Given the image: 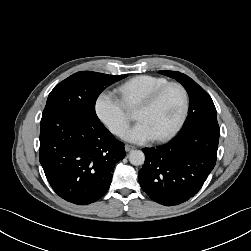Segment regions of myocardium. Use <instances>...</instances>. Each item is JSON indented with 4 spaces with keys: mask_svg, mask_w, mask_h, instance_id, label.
Wrapping results in <instances>:
<instances>
[{
    "mask_svg": "<svg viewBox=\"0 0 251 251\" xmlns=\"http://www.w3.org/2000/svg\"><path fill=\"white\" fill-rule=\"evenodd\" d=\"M175 87L178 88L182 94L183 98V107L180 114L179 119L175 123V125L166 133L155 137V141L164 142L171 138H173L179 130L182 128L189 111V95L187 89L179 82H168L165 85L158 88L152 94H150L146 99H144L137 108H151L153 107L164 95V93L170 88Z\"/></svg>",
    "mask_w": 251,
    "mask_h": 251,
    "instance_id": "myocardium-1",
    "label": "myocardium"
}]
</instances>
